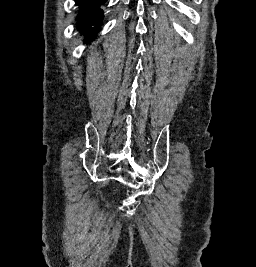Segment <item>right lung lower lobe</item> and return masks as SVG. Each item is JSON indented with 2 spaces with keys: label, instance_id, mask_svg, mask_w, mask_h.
I'll use <instances>...</instances> for the list:
<instances>
[{
  "label": "right lung lower lobe",
  "instance_id": "right-lung-lower-lobe-1",
  "mask_svg": "<svg viewBox=\"0 0 256 267\" xmlns=\"http://www.w3.org/2000/svg\"><path fill=\"white\" fill-rule=\"evenodd\" d=\"M80 7L77 16V29L85 35V43L93 40L99 31L100 24L104 17L101 6L107 0H75Z\"/></svg>",
  "mask_w": 256,
  "mask_h": 267
}]
</instances>
